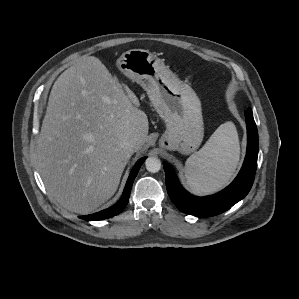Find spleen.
<instances>
[{
    "label": "spleen",
    "mask_w": 299,
    "mask_h": 299,
    "mask_svg": "<svg viewBox=\"0 0 299 299\" xmlns=\"http://www.w3.org/2000/svg\"><path fill=\"white\" fill-rule=\"evenodd\" d=\"M239 153L235 125L221 124L201 150L186 161L185 176L191 190L209 193L227 184L239 161Z\"/></svg>",
    "instance_id": "spleen-1"
}]
</instances>
